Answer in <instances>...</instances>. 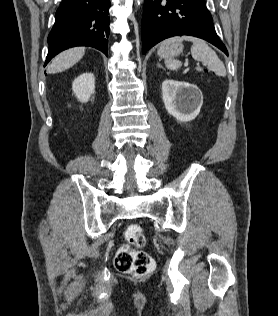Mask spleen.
<instances>
[{
    "label": "spleen",
    "mask_w": 278,
    "mask_h": 316,
    "mask_svg": "<svg viewBox=\"0 0 278 316\" xmlns=\"http://www.w3.org/2000/svg\"><path fill=\"white\" fill-rule=\"evenodd\" d=\"M183 40L191 41L193 43L191 47V55L195 60L207 64L208 69L215 72L216 75L226 76L224 63L219 59L216 52L201 39L191 36L172 37L163 41L162 46H167L174 42H181ZM165 65L170 70H177L182 64L178 60L167 58L165 60ZM197 70L201 71L202 69L198 67Z\"/></svg>",
    "instance_id": "3e777b00"
}]
</instances>
